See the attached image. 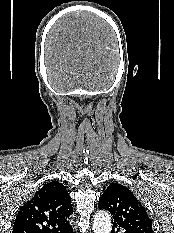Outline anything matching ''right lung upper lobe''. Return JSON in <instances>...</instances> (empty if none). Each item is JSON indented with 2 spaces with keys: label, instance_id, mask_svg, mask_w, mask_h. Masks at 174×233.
I'll return each instance as SVG.
<instances>
[{
  "label": "right lung upper lobe",
  "instance_id": "cb5924a9",
  "mask_svg": "<svg viewBox=\"0 0 174 233\" xmlns=\"http://www.w3.org/2000/svg\"><path fill=\"white\" fill-rule=\"evenodd\" d=\"M72 214L65 186L52 181L20 208L12 233H68L72 226L67 219Z\"/></svg>",
  "mask_w": 174,
  "mask_h": 233
}]
</instances>
